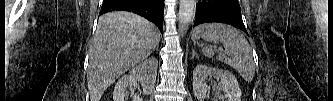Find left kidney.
Instances as JSON below:
<instances>
[{"label": "left kidney", "mask_w": 333, "mask_h": 101, "mask_svg": "<svg viewBox=\"0 0 333 101\" xmlns=\"http://www.w3.org/2000/svg\"><path fill=\"white\" fill-rule=\"evenodd\" d=\"M208 77L218 80V89L224 92L223 98H226V101H241L242 93L237 78L231 72L202 64L197 65L193 71V91L199 101L206 98L210 89L206 84ZM212 101H216L215 97Z\"/></svg>", "instance_id": "1"}]
</instances>
